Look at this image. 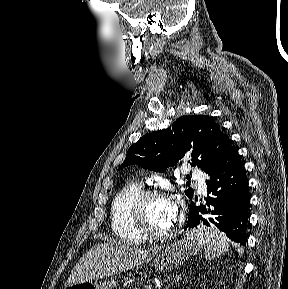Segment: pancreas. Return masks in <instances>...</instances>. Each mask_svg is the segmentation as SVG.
<instances>
[{"instance_id":"cf45deb5","label":"pancreas","mask_w":288,"mask_h":289,"mask_svg":"<svg viewBox=\"0 0 288 289\" xmlns=\"http://www.w3.org/2000/svg\"><path fill=\"white\" fill-rule=\"evenodd\" d=\"M137 289V288H135ZM142 289H150V287L148 285H144Z\"/></svg>"}]
</instances>
